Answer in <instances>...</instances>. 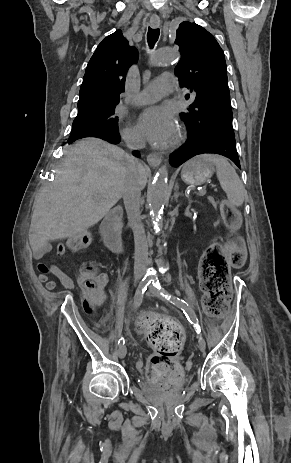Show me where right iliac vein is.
Here are the masks:
<instances>
[{
	"label": "right iliac vein",
	"instance_id": "right-iliac-vein-1",
	"mask_svg": "<svg viewBox=\"0 0 291 463\" xmlns=\"http://www.w3.org/2000/svg\"><path fill=\"white\" fill-rule=\"evenodd\" d=\"M127 349L125 345H120L118 348V356L120 358H124L126 356Z\"/></svg>",
	"mask_w": 291,
	"mask_h": 463
}]
</instances>
